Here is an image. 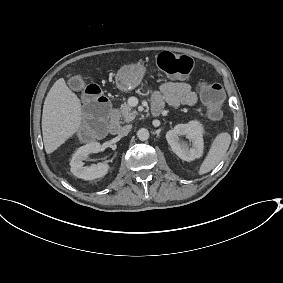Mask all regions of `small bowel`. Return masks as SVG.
I'll use <instances>...</instances> for the list:
<instances>
[{"mask_svg":"<svg viewBox=\"0 0 283 283\" xmlns=\"http://www.w3.org/2000/svg\"><path fill=\"white\" fill-rule=\"evenodd\" d=\"M153 104L163 108L168 105L173 108L193 106L197 103V94L185 82H166L160 90L153 94Z\"/></svg>","mask_w":283,"mask_h":283,"instance_id":"c3829d8e","label":"small bowel"}]
</instances>
